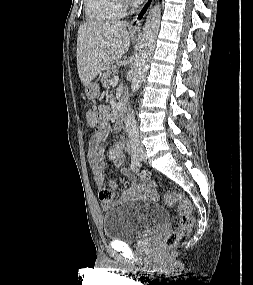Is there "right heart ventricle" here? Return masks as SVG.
I'll return each mask as SVG.
<instances>
[{
  "instance_id": "1",
  "label": "right heart ventricle",
  "mask_w": 253,
  "mask_h": 285,
  "mask_svg": "<svg viewBox=\"0 0 253 285\" xmlns=\"http://www.w3.org/2000/svg\"><path fill=\"white\" fill-rule=\"evenodd\" d=\"M86 16L91 21H107L119 18L124 7L119 0H84Z\"/></svg>"
}]
</instances>
